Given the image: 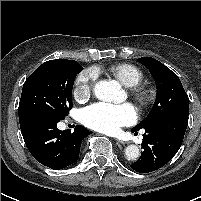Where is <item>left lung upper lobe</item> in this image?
<instances>
[{
  "mask_svg": "<svg viewBox=\"0 0 201 201\" xmlns=\"http://www.w3.org/2000/svg\"><path fill=\"white\" fill-rule=\"evenodd\" d=\"M138 62L149 69L156 83L157 95L148 116L132 131H139L152 121L166 115H189V98L178 76L152 57L139 58Z\"/></svg>",
  "mask_w": 201,
  "mask_h": 201,
  "instance_id": "obj_1",
  "label": "left lung upper lobe"
}]
</instances>
